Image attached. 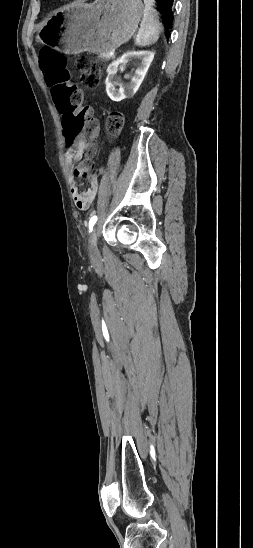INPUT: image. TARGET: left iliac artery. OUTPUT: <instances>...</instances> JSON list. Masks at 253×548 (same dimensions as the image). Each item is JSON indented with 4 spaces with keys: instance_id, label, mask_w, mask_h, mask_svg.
Segmentation results:
<instances>
[{
    "instance_id": "obj_1",
    "label": "left iliac artery",
    "mask_w": 253,
    "mask_h": 548,
    "mask_svg": "<svg viewBox=\"0 0 253 548\" xmlns=\"http://www.w3.org/2000/svg\"><path fill=\"white\" fill-rule=\"evenodd\" d=\"M96 221H97V216L91 217L89 221V232L93 230V226L95 225Z\"/></svg>"
}]
</instances>
